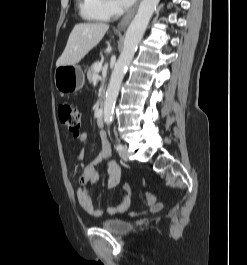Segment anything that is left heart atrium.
Segmentation results:
<instances>
[{
    "mask_svg": "<svg viewBox=\"0 0 247 265\" xmlns=\"http://www.w3.org/2000/svg\"><path fill=\"white\" fill-rule=\"evenodd\" d=\"M134 0H119L122 5H130Z\"/></svg>",
    "mask_w": 247,
    "mask_h": 265,
    "instance_id": "obj_1",
    "label": "left heart atrium"
}]
</instances>
